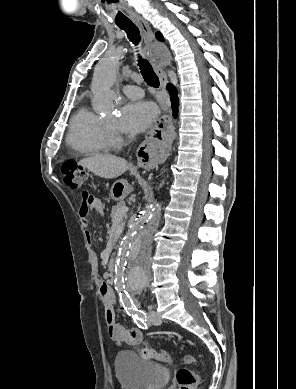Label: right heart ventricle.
Returning a JSON list of instances; mask_svg holds the SVG:
<instances>
[{
    "label": "right heart ventricle",
    "instance_id": "obj_1",
    "mask_svg": "<svg viewBox=\"0 0 296 389\" xmlns=\"http://www.w3.org/2000/svg\"><path fill=\"white\" fill-rule=\"evenodd\" d=\"M68 146L82 155H96L107 151L103 119L87 108H80L72 117L66 137Z\"/></svg>",
    "mask_w": 296,
    "mask_h": 389
}]
</instances>
